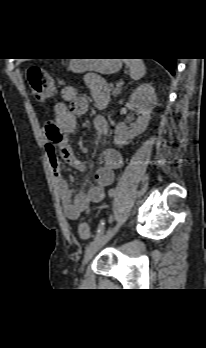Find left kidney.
<instances>
[{"label": "left kidney", "instance_id": "obj_1", "mask_svg": "<svg viewBox=\"0 0 206 348\" xmlns=\"http://www.w3.org/2000/svg\"><path fill=\"white\" fill-rule=\"evenodd\" d=\"M130 103L135 107L141 116L131 128H128L125 123H119L115 127L114 142L117 146L127 144L129 139L142 134L150 121L152 110L157 104V96L153 86L149 83H143L138 86L130 96Z\"/></svg>", "mask_w": 206, "mask_h": 348}]
</instances>
